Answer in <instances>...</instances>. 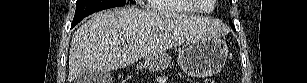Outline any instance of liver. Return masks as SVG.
<instances>
[{
  "instance_id": "obj_1",
  "label": "liver",
  "mask_w": 307,
  "mask_h": 83,
  "mask_svg": "<svg viewBox=\"0 0 307 83\" xmlns=\"http://www.w3.org/2000/svg\"><path fill=\"white\" fill-rule=\"evenodd\" d=\"M225 28L209 18L111 9L94 14L73 34L68 81L88 71L109 72L163 54L178 44L218 38Z\"/></svg>"
}]
</instances>
